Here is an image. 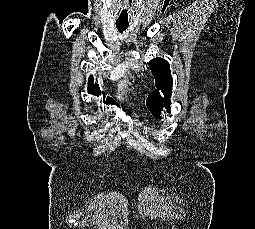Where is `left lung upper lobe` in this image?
<instances>
[{
    "label": "left lung upper lobe",
    "instance_id": "1",
    "mask_svg": "<svg viewBox=\"0 0 255 229\" xmlns=\"http://www.w3.org/2000/svg\"><path fill=\"white\" fill-rule=\"evenodd\" d=\"M149 68L155 78L157 89L149 94L146 105L155 118L162 119L159 114L163 107L167 109V112H170L173 85L170 65L166 60L157 57L149 62Z\"/></svg>",
    "mask_w": 255,
    "mask_h": 229
}]
</instances>
